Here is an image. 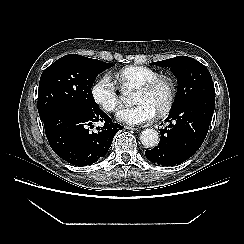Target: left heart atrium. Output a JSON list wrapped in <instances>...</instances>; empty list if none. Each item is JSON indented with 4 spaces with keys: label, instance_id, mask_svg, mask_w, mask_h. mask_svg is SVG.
Listing matches in <instances>:
<instances>
[{
    "label": "left heart atrium",
    "instance_id": "left-heart-atrium-1",
    "mask_svg": "<svg viewBox=\"0 0 244 244\" xmlns=\"http://www.w3.org/2000/svg\"><path fill=\"white\" fill-rule=\"evenodd\" d=\"M156 111L146 103L121 109L117 118L129 125H141L154 119Z\"/></svg>",
    "mask_w": 244,
    "mask_h": 244
}]
</instances>
